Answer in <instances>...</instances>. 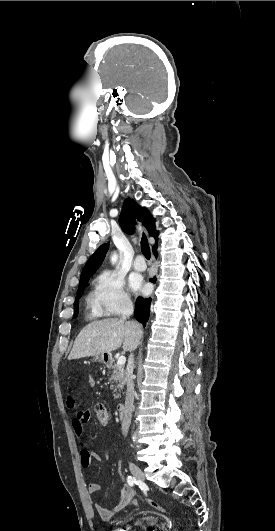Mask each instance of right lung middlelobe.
<instances>
[{"label": "right lung middle lobe", "instance_id": "dd1d6c3e", "mask_svg": "<svg viewBox=\"0 0 275 531\" xmlns=\"http://www.w3.org/2000/svg\"><path fill=\"white\" fill-rule=\"evenodd\" d=\"M88 281H86L84 284H82L81 286H79L78 288V291H77V297H76V301L74 303V317H77L78 315V300L79 298L82 296L83 294V289H84V286L86 285Z\"/></svg>", "mask_w": 275, "mask_h": 531}]
</instances>
